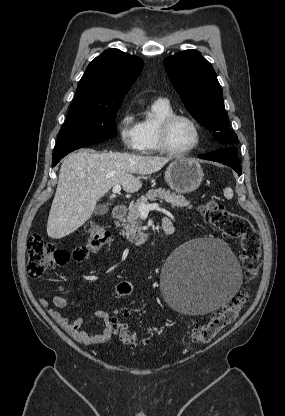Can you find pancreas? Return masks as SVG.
I'll use <instances>...</instances> for the list:
<instances>
[{
    "instance_id": "cf45deb5",
    "label": "pancreas",
    "mask_w": 285,
    "mask_h": 416,
    "mask_svg": "<svg viewBox=\"0 0 285 416\" xmlns=\"http://www.w3.org/2000/svg\"><path fill=\"white\" fill-rule=\"evenodd\" d=\"M156 198L172 204V208H184V206L188 210L192 208L190 202L185 200L184 196H177V194L170 192V190H162V188H159V190H149L145 196H141L137 200L136 204L130 206L128 216L125 222L121 224L124 228V230H121L122 236H125L131 244H142V242H146L148 236L144 234L141 228V222H138V218H140L139 206L141 204H148V200L155 202Z\"/></svg>"
}]
</instances>
